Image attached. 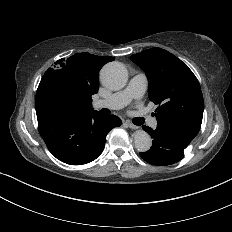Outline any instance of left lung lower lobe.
<instances>
[{
  "label": "left lung lower lobe",
  "mask_w": 232,
  "mask_h": 232,
  "mask_svg": "<svg viewBox=\"0 0 232 232\" xmlns=\"http://www.w3.org/2000/svg\"><path fill=\"white\" fill-rule=\"evenodd\" d=\"M153 138L152 146L140 156L152 165L166 166L180 161L184 157V149L189 145L186 141L156 128L142 127Z\"/></svg>",
  "instance_id": "obj_1"
}]
</instances>
